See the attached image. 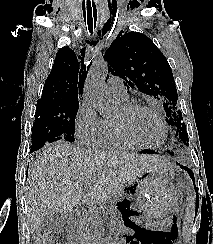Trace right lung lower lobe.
I'll return each mask as SVG.
<instances>
[{
  "label": "right lung lower lobe",
  "instance_id": "1",
  "mask_svg": "<svg viewBox=\"0 0 213 244\" xmlns=\"http://www.w3.org/2000/svg\"><path fill=\"white\" fill-rule=\"evenodd\" d=\"M59 139H61V138H55V139H53V140H51V141H49V142H47V143H51V142H53V141H57V140H59ZM40 149V148H39ZM38 150V149H37ZM34 151H36V150H31V152H34Z\"/></svg>",
  "mask_w": 213,
  "mask_h": 244
}]
</instances>
